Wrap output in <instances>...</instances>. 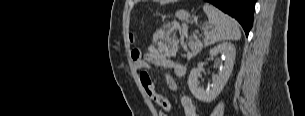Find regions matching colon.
I'll return each mask as SVG.
<instances>
[{
	"mask_svg": "<svg viewBox=\"0 0 305 116\" xmlns=\"http://www.w3.org/2000/svg\"><path fill=\"white\" fill-rule=\"evenodd\" d=\"M130 41H131V42H134V41H135V35H134L133 33L130 34ZM141 77H142V78H145V79H148L149 75H148V73H147L146 71H143V72L141 73Z\"/></svg>",
	"mask_w": 305,
	"mask_h": 116,
	"instance_id": "5ec220e1",
	"label": "colon"
}]
</instances>
